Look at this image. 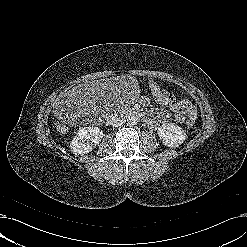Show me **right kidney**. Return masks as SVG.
<instances>
[{"label": "right kidney", "instance_id": "ca27d5eb", "mask_svg": "<svg viewBox=\"0 0 247 247\" xmlns=\"http://www.w3.org/2000/svg\"><path fill=\"white\" fill-rule=\"evenodd\" d=\"M103 138V131L98 127L82 128L70 143V150L75 155L91 152Z\"/></svg>", "mask_w": 247, "mask_h": 247}]
</instances>
